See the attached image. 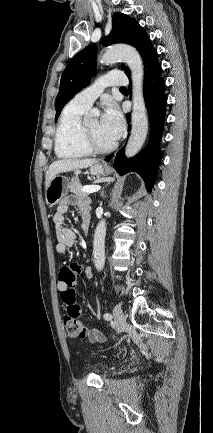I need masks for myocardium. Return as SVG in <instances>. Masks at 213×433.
Listing matches in <instances>:
<instances>
[{
  "instance_id": "1",
  "label": "myocardium",
  "mask_w": 213,
  "mask_h": 433,
  "mask_svg": "<svg viewBox=\"0 0 213 433\" xmlns=\"http://www.w3.org/2000/svg\"><path fill=\"white\" fill-rule=\"evenodd\" d=\"M81 138L83 144L91 153H97V154L108 153L113 151L117 146L116 142H113L111 145L105 147L99 146L90 135L86 123L81 125Z\"/></svg>"
}]
</instances>
